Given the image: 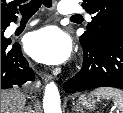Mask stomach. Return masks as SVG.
<instances>
[{"label": "stomach", "mask_w": 123, "mask_h": 113, "mask_svg": "<svg viewBox=\"0 0 123 113\" xmlns=\"http://www.w3.org/2000/svg\"><path fill=\"white\" fill-rule=\"evenodd\" d=\"M79 103L81 104L82 107H84L86 109H94L96 102L91 97H86V96L82 95L79 97Z\"/></svg>", "instance_id": "obj_1"}]
</instances>
